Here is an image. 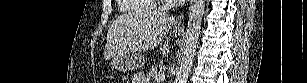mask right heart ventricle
I'll use <instances>...</instances> for the list:
<instances>
[{"label":"right heart ventricle","mask_w":307,"mask_h":83,"mask_svg":"<svg viewBox=\"0 0 307 83\" xmlns=\"http://www.w3.org/2000/svg\"><path fill=\"white\" fill-rule=\"evenodd\" d=\"M156 5V3H155ZM152 0H120L119 8L121 12L127 14H137L148 12L154 9Z\"/></svg>","instance_id":"right-heart-ventricle-1"}]
</instances>
